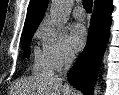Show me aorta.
I'll list each match as a JSON object with an SVG mask.
<instances>
[{
	"mask_svg": "<svg viewBox=\"0 0 119 95\" xmlns=\"http://www.w3.org/2000/svg\"><path fill=\"white\" fill-rule=\"evenodd\" d=\"M73 0H52L50 7V15L53 22L57 26H63L70 17ZM101 94L100 84L97 82L94 87V95Z\"/></svg>",
	"mask_w": 119,
	"mask_h": 95,
	"instance_id": "aorta-1",
	"label": "aorta"
}]
</instances>
